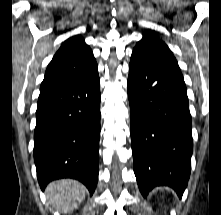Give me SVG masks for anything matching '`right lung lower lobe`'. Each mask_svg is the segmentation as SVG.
Wrapping results in <instances>:
<instances>
[{
	"mask_svg": "<svg viewBox=\"0 0 221 215\" xmlns=\"http://www.w3.org/2000/svg\"><path fill=\"white\" fill-rule=\"evenodd\" d=\"M100 116L98 70L39 97L34 161L42 190L53 180L74 178L93 194L98 181Z\"/></svg>",
	"mask_w": 221,
	"mask_h": 215,
	"instance_id": "obj_1",
	"label": "right lung lower lobe"
}]
</instances>
